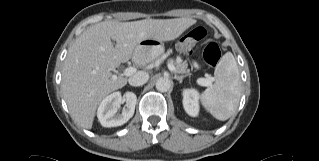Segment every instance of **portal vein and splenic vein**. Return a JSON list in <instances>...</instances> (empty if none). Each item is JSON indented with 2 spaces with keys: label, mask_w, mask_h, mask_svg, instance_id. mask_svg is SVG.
<instances>
[{
  "label": "portal vein and splenic vein",
  "mask_w": 319,
  "mask_h": 161,
  "mask_svg": "<svg viewBox=\"0 0 319 161\" xmlns=\"http://www.w3.org/2000/svg\"><path fill=\"white\" fill-rule=\"evenodd\" d=\"M168 66V69L171 71V72H175V66L172 64V63H168L167 64ZM136 69L134 67H128L124 70V75L126 76H130L132 75L133 73H135ZM213 79L209 76H207L206 78H199L197 80V83L201 86H209L211 83H212Z\"/></svg>",
  "instance_id": "obj_1"
}]
</instances>
